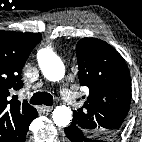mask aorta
<instances>
[{
  "instance_id": "aorta-1",
  "label": "aorta",
  "mask_w": 142,
  "mask_h": 142,
  "mask_svg": "<svg viewBox=\"0 0 142 142\" xmlns=\"http://www.w3.org/2000/svg\"><path fill=\"white\" fill-rule=\"evenodd\" d=\"M37 60L44 77L49 81L57 82L64 77V64L52 49H40L37 54ZM52 118L56 126H67L72 119V110L65 105L57 106L52 112Z\"/></svg>"
}]
</instances>
